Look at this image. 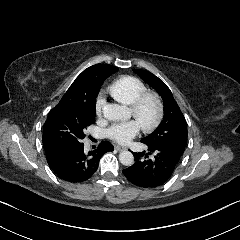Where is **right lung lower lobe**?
<instances>
[{
  "instance_id": "1",
  "label": "right lung lower lobe",
  "mask_w": 240,
  "mask_h": 240,
  "mask_svg": "<svg viewBox=\"0 0 240 240\" xmlns=\"http://www.w3.org/2000/svg\"><path fill=\"white\" fill-rule=\"evenodd\" d=\"M113 145L102 141L97 149L84 152V144L55 145L45 148L46 158L53 172L62 180L72 183L89 179L97 170L100 158L108 151H113Z\"/></svg>"
}]
</instances>
